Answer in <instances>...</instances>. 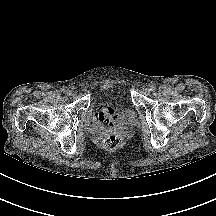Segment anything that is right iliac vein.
I'll return each instance as SVG.
<instances>
[{"label":"right iliac vein","instance_id":"1","mask_svg":"<svg viewBox=\"0 0 216 216\" xmlns=\"http://www.w3.org/2000/svg\"><path fill=\"white\" fill-rule=\"evenodd\" d=\"M75 95H76L75 92L70 93V96H72V97H74Z\"/></svg>","mask_w":216,"mask_h":216}]
</instances>
